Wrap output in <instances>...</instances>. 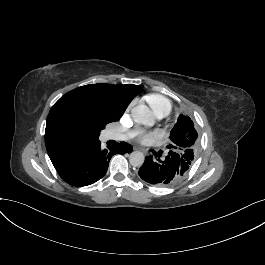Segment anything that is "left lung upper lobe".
Instances as JSON below:
<instances>
[{
    "instance_id": "1",
    "label": "left lung upper lobe",
    "mask_w": 265,
    "mask_h": 265,
    "mask_svg": "<svg viewBox=\"0 0 265 265\" xmlns=\"http://www.w3.org/2000/svg\"><path fill=\"white\" fill-rule=\"evenodd\" d=\"M171 143L167 146L171 154H178L187 174L198 152V134L188 116L180 115L170 133Z\"/></svg>"
}]
</instances>
